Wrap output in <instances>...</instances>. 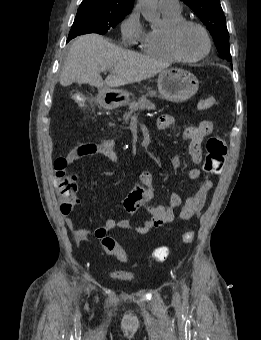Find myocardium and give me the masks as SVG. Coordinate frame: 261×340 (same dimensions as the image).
<instances>
[{
    "label": "myocardium",
    "instance_id": "1",
    "mask_svg": "<svg viewBox=\"0 0 261 340\" xmlns=\"http://www.w3.org/2000/svg\"><path fill=\"white\" fill-rule=\"evenodd\" d=\"M187 25L196 26L197 28H199L202 31V33L205 37L206 49L199 56L186 57L180 52V50L178 48V45H177L178 35H179L180 31ZM167 44H168L170 51L177 58V60L187 62V63H194V62H198V61L204 59L205 57H207L209 55L211 48H212V41H211L209 32L206 29V27L202 23H200L196 20L187 19V18H182L169 27V29L167 31Z\"/></svg>",
    "mask_w": 261,
    "mask_h": 340
}]
</instances>
